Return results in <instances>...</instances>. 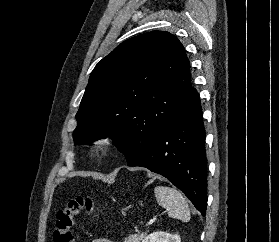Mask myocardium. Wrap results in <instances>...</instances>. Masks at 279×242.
I'll return each instance as SVG.
<instances>
[{
	"label": "myocardium",
	"mask_w": 279,
	"mask_h": 242,
	"mask_svg": "<svg viewBox=\"0 0 279 242\" xmlns=\"http://www.w3.org/2000/svg\"><path fill=\"white\" fill-rule=\"evenodd\" d=\"M114 143L113 136L109 134H102L97 136L91 144V149L96 154H102L108 151Z\"/></svg>",
	"instance_id": "1"
}]
</instances>
